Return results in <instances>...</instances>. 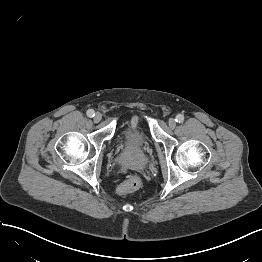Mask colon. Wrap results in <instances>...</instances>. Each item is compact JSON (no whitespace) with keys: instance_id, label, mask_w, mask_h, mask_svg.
I'll use <instances>...</instances> for the list:
<instances>
[{"instance_id":"1","label":"colon","mask_w":262,"mask_h":262,"mask_svg":"<svg viewBox=\"0 0 262 262\" xmlns=\"http://www.w3.org/2000/svg\"><path fill=\"white\" fill-rule=\"evenodd\" d=\"M140 186H141L140 178L137 175L133 174L130 175L126 181H124L122 184H120L117 187V193L119 195H125L138 190Z\"/></svg>"}]
</instances>
